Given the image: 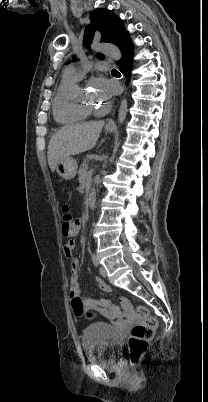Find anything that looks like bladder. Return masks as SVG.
Returning <instances> with one entry per match:
<instances>
[{"mask_svg": "<svg viewBox=\"0 0 208 402\" xmlns=\"http://www.w3.org/2000/svg\"><path fill=\"white\" fill-rule=\"evenodd\" d=\"M122 337L111 325L95 323L84 329L83 349L86 359L100 365L115 363Z\"/></svg>", "mask_w": 208, "mask_h": 402, "instance_id": "31cf9c89", "label": "bladder"}]
</instances>
